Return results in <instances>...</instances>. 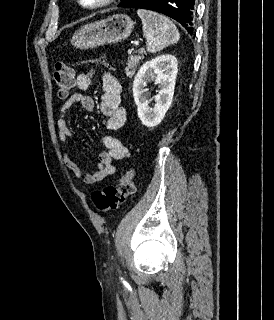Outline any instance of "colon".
I'll use <instances>...</instances> for the list:
<instances>
[{
	"instance_id": "colon-1",
	"label": "colon",
	"mask_w": 274,
	"mask_h": 320,
	"mask_svg": "<svg viewBox=\"0 0 274 320\" xmlns=\"http://www.w3.org/2000/svg\"><path fill=\"white\" fill-rule=\"evenodd\" d=\"M53 79L57 96L61 100L68 98L75 84V73L65 61L54 64ZM134 193L133 175L131 171L123 173L116 185H108L103 190L93 192L91 201L101 212L113 210L123 205Z\"/></svg>"
}]
</instances>
